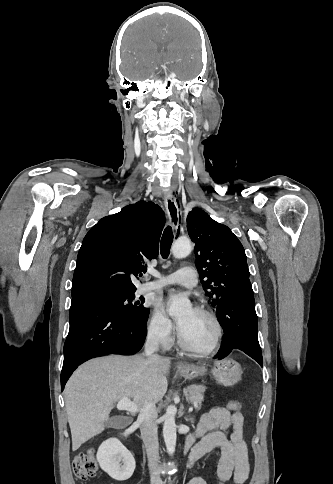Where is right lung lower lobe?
I'll use <instances>...</instances> for the list:
<instances>
[{
  "instance_id": "98d812e1",
  "label": "right lung lower lobe",
  "mask_w": 333,
  "mask_h": 484,
  "mask_svg": "<svg viewBox=\"0 0 333 484\" xmlns=\"http://www.w3.org/2000/svg\"><path fill=\"white\" fill-rule=\"evenodd\" d=\"M70 329L64 344L61 388L84 361L107 354L131 355L146 338L145 324L130 320L95 292L72 296Z\"/></svg>"
}]
</instances>
